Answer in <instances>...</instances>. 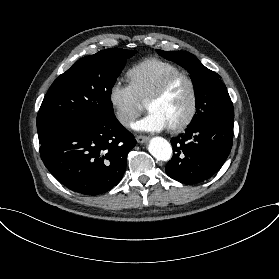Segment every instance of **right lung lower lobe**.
Listing matches in <instances>:
<instances>
[{"label": "right lung lower lobe", "mask_w": 279, "mask_h": 279, "mask_svg": "<svg viewBox=\"0 0 279 279\" xmlns=\"http://www.w3.org/2000/svg\"><path fill=\"white\" fill-rule=\"evenodd\" d=\"M38 135L46 168L68 189L91 196L120 182L127 154L136 145L116 118L49 124Z\"/></svg>", "instance_id": "98d812e1"}]
</instances>
